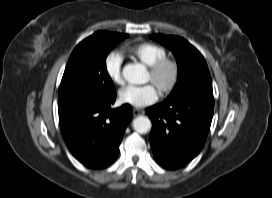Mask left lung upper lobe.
<instances>
[{
    "instance_id": "1",
    "label": "left lung upper lobe",
    "mask_w": 272,
    "mask_h": 198,
    "mask_svg": "<svg viewBox=\"0 0 272 198\" xmlns=\"http://www.w3.org/2000/svg\"><path fill=\"white\" fill-rule=\"evenodd\" d=\"M174 54L178 65V81L166 100L189 94L213 95L211 76L202 54L182 37L154 34L151 36Z\"/></svg>"
}]
</instances>
